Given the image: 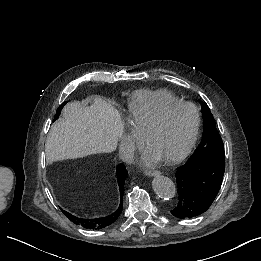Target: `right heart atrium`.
<instances>
[{"label": "right heart atrium", "instance_id": "obj_1", "mask_svg": "<svg viewBox=\"0 0 261 261\" xmlns=\"http://www.w3.org/2000/svg\"><path fill=\"white\" fill-rule=\"evenodd\" d=\"M119 109V108H118ZM120 110V109H119ZM128 134H129V143H128V145H131V143H130V140H131V138H132V127H131V125H130V129H129V131H128ZM126 159H128V157H126Z\"/></svg>", "mask_w": 261, "mask_h": 261}]
</instances>
